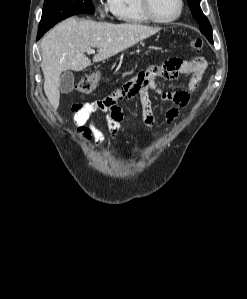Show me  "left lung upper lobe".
<instances>
[{
    "label": "left lung upper lobe",
    "instance_id": "5c2ea615",
    "mask_svg": "<svg viewBox=\"0 0 247 299\" xmlns=\"http://www.w3.org/2000/svg\"><path fill=\"white\" fill-rule=\"evenodd\" d=\"M193 17L199 22L200 31L206 36L210 43H213L212 28L209 20L203 14L200 7V0H187Z\"/></svg>",
    "mask_w": 247,
    "mask_h": 299
}]
</instances>
